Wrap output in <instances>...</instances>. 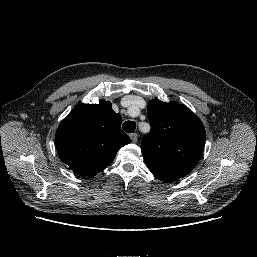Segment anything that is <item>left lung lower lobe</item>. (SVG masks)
<instances>
[{
    "label": "left lung lower lobe",
    "instance_id": "0a47b994",
    "mask_svg": "<svg viewBox=\"0 0 257 257\" xmlns=\"http://www.w3.org/2000/svg\"><path fill=\"white\" fill-rule=\"evenodd\" d=\"M152 173L157 179L164 181V182H173V181H176L179 179V178H175V177L161 174V173H155V172H152Z\"/></svg>",
    "mask_w": 257,
    "mask_h": 257
}]
</instances>
